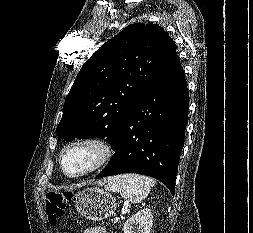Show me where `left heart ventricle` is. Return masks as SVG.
<instances>
[{
    "mask_svg": "<svg viewBox=\"0 0 253 233\" xmlns=\"http://www.w3.org/2000/svg\"><path fill=\"white\" fill-rule=\"evenodd\" d=\"M93 160V153L88 148H77L68 153L65 158V168L71 173L86 169Z\"/></svg>",
    "mask_w": 253,
    "mask_h": 233,
    "instance_id": "left-heart-ventricle-1",
    "label": "left heart ventricle"
}]
</instances>
